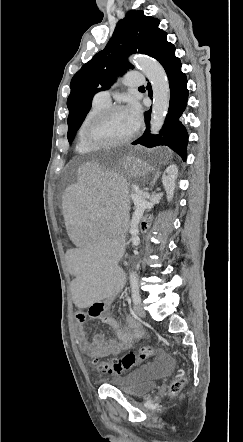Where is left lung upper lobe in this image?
I'll return each mask as SVG.
<instances>
[{
    "mask_svg": "<svg viewBox=\"0 0 243 442\" xmlns=\"http://www.w3.org/2000/svg\"><path fill=\"white\" fill-rule=\"evenodd\" d=\"M160 21L145 16L143 11H129L120 20L105 49L98 52L73 76L67 100L68 141L71 142L91 108L93 96L107 90L118 76L134 68L127 58L134 53L154 57L167 33L159 28Z\"/></svg>",
    "mask_w": 243,
    "mask_h": 442,
    "instance_id": "obj_1",
    "label": "left lung upper lobe"
}]
</instances>
